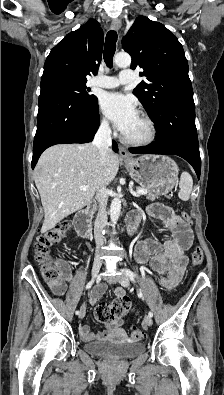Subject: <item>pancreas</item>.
Listing matches in <instances>:
<instances>
[{
  "instance_id": "cf45deb5",
  "label": "pancreas",
  "mask_w": 224,
  "mask_h": 395,
  "mask_svg": "<svg viewBox=\"0 0 224 395\" xmlns=\"http://www.w3.org/2000/svg\"><path fill=\"white\" fill-rule=\"evenodd\" d=\"M137 189H140V187H137ZM143 189H145V188H143ZM145 190H147V189H145ZM147 191H148V193L146 194L147 199L154 201L155 199L159 198V196L157 194H155L149 190H147Z\"/></svg>"
}]
</instances>
